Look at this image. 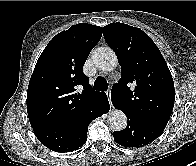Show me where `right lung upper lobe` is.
<instances>
[{
  "label": "right lung upper lobe",
  "mask_w": 196,
  "mask_h": 166,
  "mask_svg": "<svg viewBox=\"0 0 196 166\" xmlns=\"http://www.w3.org/2000/svg\"><path fill=\"white\" fill-rule=\"evenodd\" d=\"M101 36L102 27L80 23L54 36L43 50L27 92V112L34 132L75 124L86 107L101 96L107 98L105 93L92 90L82 71Z\"/></svg>",
  "instance_id": "1"
}]
</instances>
